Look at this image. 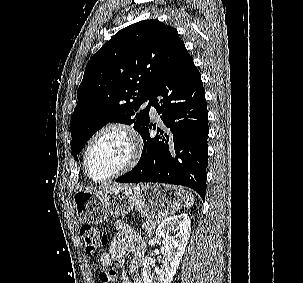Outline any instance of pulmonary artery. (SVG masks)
<instances>
[{"label": "pulmonary artery", "instance_id": "obj_1", "mask_svg": "<svg viewBox=\"0 0 303 283\" xmlns=\"http://www.w3.org/2000/svg\"><path fill=\"white\" fill-rule=\"evenodd\" d=\"M147 106H150V113H151V116H152L153 118H157V117H158V114H157L156 108H155L153 105H150L149 100H147L146 102H144L143 105H142L143 108H146Z\"/></svg>", "mask_w": 303, "mask_h": 283}]
</instances>
